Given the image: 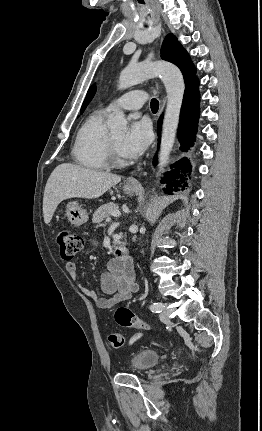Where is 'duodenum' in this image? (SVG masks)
Returning <instances> with one entry per match:
<instances>
[{
	"label": "duodenum",
	"instance_id": "obj_1",
	"mask_svg": "<svg viewBox=\"0 0 262 431\" xmlns=\"http://www.w3.org/2000/svg\"><path fill=\"white\" fill-rule=\"evenodd\" d=\"M119 256H120L122 259L127 260V259H128V257H129V253H128L127 249H126V248L121 247V248L119 249Z\"/></svg>",
	"mask_w": 262,
	"mask_h": 431
}]
</instances>
